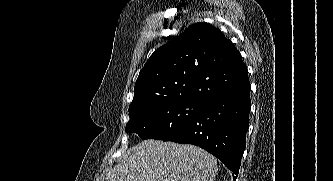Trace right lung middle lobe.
Wrapping results in <instances>:
<instances>
[{
  "instance_id": "dd1d6c3e",
  "label": "right lung middle lobe",
  "mask_w": 333,
  "mask_h": 181,
  "mask_svg": "<svg viewBox=\"0 0 333 181\" xmlns=\"http://www.w3.org/2000/svg\"><path fill=\"white\" fill-rule=\"evenodd\" d=\"M202 103L165 101L151 104L129 113L127 133H137L143 139L167 141L181 132L196 116Z\"/></svg>"
}]
</instances>
